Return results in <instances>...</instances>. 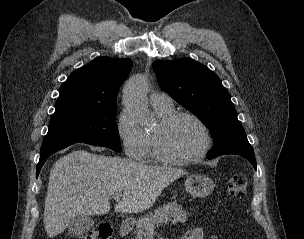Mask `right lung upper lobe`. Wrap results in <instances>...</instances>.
<instances>
[{
  "label": "right lung upper lobe",
  "instance_id": "cb5924a9",
  "mask_svg": "<svg viewBox=\"0 0 304 239\" xmlns=\"http://www.w3.org/2000/svg\"><path fill=\"white\" fill-rule=\"evenodd\" d=\"M132 67L129 58H97L73 71L60 87L55 112L116 105L118 91Z\"/></svg>",
  "mask_w": 304,
  "mask_h": 239
}]
</instances>
